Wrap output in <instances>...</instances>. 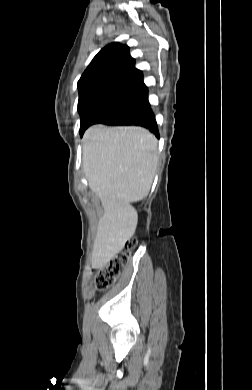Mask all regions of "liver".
<instances>
[{
	"instance_id": "1",
	"label": "liver",
	"mask_w": 252,
	"mask_h": 390,
	"mask_svg": "<svg viewBox=\"0 0 252 390\" xmlns=\"http://www.w3.org/2000/svg\"><path fill=\"white\" fill-rule=\"evenodd\" d=\"M157 163V139L144 128L94 125L86 130L84 173L104 209L92 250L94 268L104 267L133 236L137 215L130 204L148 195Z\"/></svg>"
}]
</instances>
